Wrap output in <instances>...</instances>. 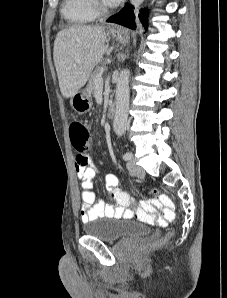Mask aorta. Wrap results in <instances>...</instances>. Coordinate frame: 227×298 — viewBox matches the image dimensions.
<instances>
[{"label": "aorta", "instance_id": "762f6f07", "mask_svg": "<svg viewBox=\"0 0 227 298\" xmlns=\"http://www.w3.org/2000/svg\"><path fill=\"white\" fill-rule=\"evenodd\" d=\"M144 0H130L135 7L140 6ZM129 77L130 71L126 68L121 70L116 85V110L113 121L114 131L122 136L126 130L129 110Z\"/></svg>", "mask_w": 227, "mask_h": 298}]
</instances>
